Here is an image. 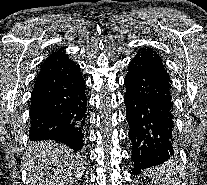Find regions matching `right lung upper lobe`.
<instances>
[{"label":"right lung upper lobe","mask_w":207,"mask_h":185,"mask_svg":"<svg viewBox=\"0 0 207 185\" xmlns=\"http://www.w3.org/2000/svg\"><path fill=\"white\" fill-rule=\"evenodd\" d=\"M79 71V65L71 61L64 51H53L44 61L37 76L34 89L45 87L61 79L73 76Z\"/></svg>","instance_id":"cb5924a9"}]
</instances>
